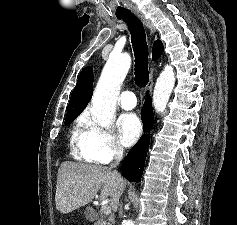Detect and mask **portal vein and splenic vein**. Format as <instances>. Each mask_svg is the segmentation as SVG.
<instances>
[{
    "instance_id": "portal-vein-and-splenic-vein-1",
    "label": "portal vein and splenic vein",
    "mask_w": 237,
    "mask_h": 225,
    "mask_svg": "<svg viewBox=\"0 0 237 225\" xmlns=\"http://www.w3.org/2000/svg\"><path fill=\"white\" fill-rule=\"evenodd\" d=\"M101 211H102L104 214L109 215V214L111 213V207L108 206V205L102 206V207H101Z\"/></svg>"
}]
</instances>
